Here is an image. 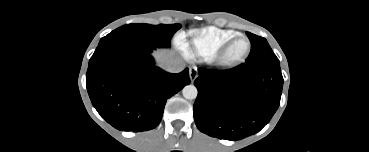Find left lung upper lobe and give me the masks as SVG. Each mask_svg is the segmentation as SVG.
Listing matches in <instances>:
<instances>
[{"mask_svg": "<svg viewBox=\"0 0 369 152\" xmlns=\"http://www.w3.org/2000/svg\"><path fill=\"white\" fill-rule=\"evenodd\" d=\"M251 42V52L246 63L274 62L279 63L278 58L263 37L246 32Z\"/></svg>", "mask_w": 369, "mask_h": 152, "instance_id": "5c2ea615", "label": "left lung upper lobe"}]
</instances>
